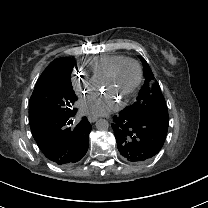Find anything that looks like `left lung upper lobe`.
<instances>
[{"label":"left lung upper lobe","instance_id":"left-lung-upper-lobe-1","mask_svg":"<svg viewBox=\"0 0 208 208\" xmlns=\"http://www.w3.org/2000/svg\"><path fill=\"white\" fill-rule=\"evenodd\" d=\"M140 59L144 67L145 82L136 102L123 111L132 115L154 118L164 125H169L167 106L159 84L145 59L142 57Z\"/></svg>","mask_w":208,"mask_h":208}]
</instances>
